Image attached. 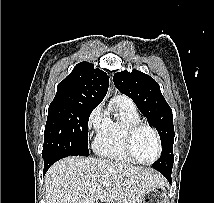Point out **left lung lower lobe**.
Here are the masks:
<instances>
[{
	"instance_id": "left-lung-lower-lobe-1",
	"label": "left lung lower lobe",
	"mask_w": 214,
	"mask_h": 203,
	"mask_svg": "<svg viewBox=\"0 0 214 203\" xmlns=\"http://www.w3.org/2000/svg\"><path fill=\"white\" fill-rule=\"evenodd\" d=\"M171 172H172V169L160 171V173H162L169 182H171Z\"/></svg>"
}]
</instances>
